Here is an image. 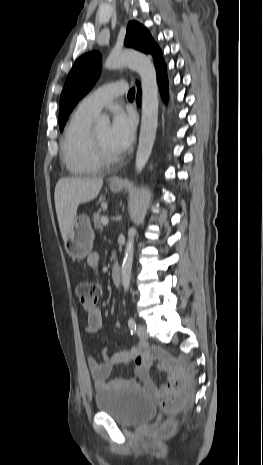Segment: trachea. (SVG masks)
I'll use <instances>...</instances> for the list:
<instances>
[{"instance_id":"obj_1","label":"trachea","mask_w":263,"mask_h":465,"mask_svg":"<svg viewBox=\"0 0 263 465\" xmlns=\"http://www.w3.org/2000/svg\"><path fill=\"white\" fill-rule=\"evenodd\" d=\"M135 97V89L132 88L130 89V91L128 92V98H134Z\"/></svg>"}]
</instances>
